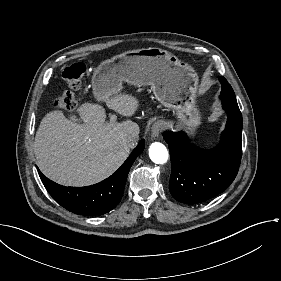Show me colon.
<instances>
[{
    "label": "colon",
    "mask_w": 281,
    "mask_h": 281,
    "mask_svg": "<svg viewBox=\"0 0 281 281\" xmlns=\"http://www.w3.org/2000/svg\"><path fill=\"white\" fill-rule=\"evenodd\" d=\"M87 67L84 62H75L66 67L63 71L62 77L66 84L69 86H77L81 83L82 79L86 76ZM58 109L62 111H71L77 105L75 95L70 91H65L56 99Z\"/></svg>",
    "instance_id": "obj_1"
}]
</instances>
